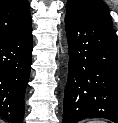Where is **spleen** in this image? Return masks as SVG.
<instances>
[{
  "instance_id": "3e777b00",
  "label": "spleen",
  "mask_w": 118,
  "mask_h": 123,
  "mask_svg": "<svg viewBox=\"0 0 118 123\" xmlns=\"http://www.w3.org/2000/svg\"><path fill=\"white\" fill-rule=\"evenodd\" d=\"M88 123H105V122L100 120H93V121H89Z\"/></svg>"
}]
</instances>
